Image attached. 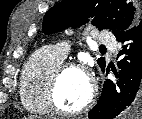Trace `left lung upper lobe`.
Masks as SVG:
<instances>
[{
    "label": "left lung upper lobe",
    "instance_id": "obj_1",
    "mask_svg": "<svg viewBox=\"0 0 142 119\" xmlns=\"http://www.w3.org/2000/svg\"><path fill=\"white\" fill-rule=\"evenodd\" d=\"M89 17H94V26L110 29L115 36L142 21L140 7L132 0H63L45 14L43 31L51 34L67 26H79ZM97 62L104 70L105 59L101 57Z\"/></svg>",
    "mask_w": 142,
    "mask_h": 119
}]
</instances>
